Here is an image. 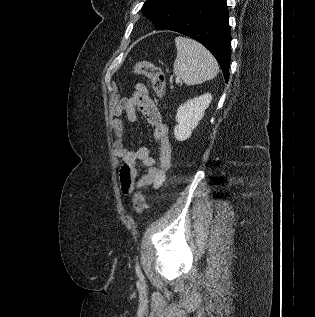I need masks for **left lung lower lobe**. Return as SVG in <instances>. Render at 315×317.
Instances as JSON below:
<instances>
[{
    "label": "left lung lower lobe",
    "mask_w": 315,
    "mask_h": 317,
    "mask_svg": "<svg viewBox=\"0 0 315 317\" xmlns=\"http://www.w3.org/2000/svg\"><path fill=\"white\" fill-rule=\"evenodd\" d=\"M203 44L229 79L231 35L226 0H198L170 28Z\"/></svg>",
    "instance_id": "1"
}]
</instances>
